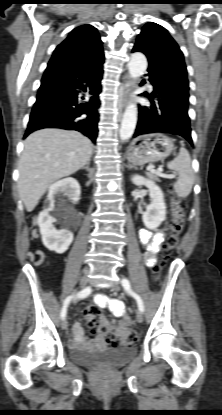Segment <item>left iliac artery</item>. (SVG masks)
Instances as JSON below:
<instances>
[{
	"label": "left iliac artery",
	"mask_w": 222,
	"mask_h": 415,
	"mask_svg": "<svg viewBox=\"0 0 222 415\" xmlns=\"http://www.w3.org/2000/svg\"><path fill=\"white\" fill-rule=\"evenodd\" d=\"M122 286L125 289V291L131 295L132 297L135 298V300L137 301V305L138 308L141 312H144V304L142 299L140 298V296L138 294H136L135 292H133V290L131 289V285L128 279H123L122 280Z\"/></svg>",
	"instance_id": "obj_1"
}]
</instances>
